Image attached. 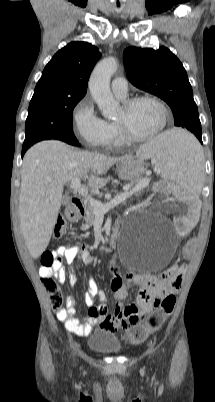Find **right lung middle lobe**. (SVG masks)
Wrapping results in <instances>:
<instances>
[{"label":"right lung middle lobe","mask_w":215,"mask_h":402,"mask_svg":"<svg viewBox=\"0 0 215 402\" xmlns=\"http://www.w3.org/2000/svg\"><path fill=\"white\" fill-rule=\"evenodd\" d=\"M81 98L52 95L33 96L28 110L23 145L31 146L47 139L69 144L78 142L72 130V112Z\"/></svg>","instance_id":"dd1d6c3e"}]
</instances>
